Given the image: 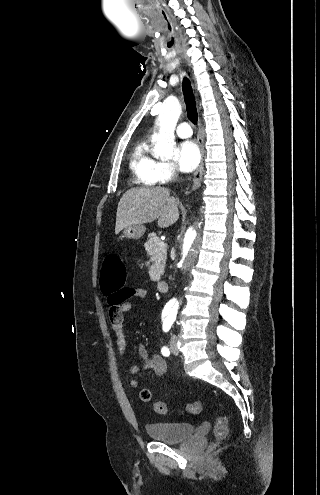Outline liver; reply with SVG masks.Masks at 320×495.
<instances>
[{"instance_id": "6515ba94", "label": "liver", "mask_w": 320, "mask_h": 495, "mask_svg": "<svg viewBox=\"0 0 320 495\" xmlns=\"http://www.w3.org/2000/svg\"><path fill=\"white\" fill-rule=\"evenodd\" d=\"M169 227L179 219L178 203L166 188H134L125 192L118 203L115 234L131 225L151 223Z\"/></svg>"}]
</instances>
